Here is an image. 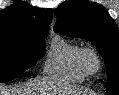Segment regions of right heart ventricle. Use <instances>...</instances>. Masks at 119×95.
I'll return each instance as SVG.
<instances>
[{"label":"right heart ventricle","mask_w":119,"mask_h":95,"mask_svg":"<svg viewBox=\"0 0 119 95\" xmlns=\"http://www.w3.org/2000/svg\"><path fill=\"white\" fill-rule=\"evenodd\" d=\"M81 50L78 43L60 36L55 37L45 60L44 72L71 82L82 81L87 73L80 63Z\"/></svg>","instance_id":"1"}]
</instances>
